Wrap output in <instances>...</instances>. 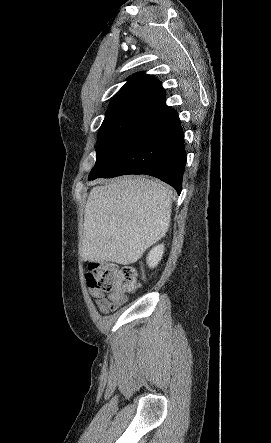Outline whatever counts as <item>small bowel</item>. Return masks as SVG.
<instances>
[{
    "instance_id": "obj_1",
    "label": "small bowel",
    "mask_w": 271,
    "mask_h": 443,
    "mask_svg": "<svg viewBox=\"0 0 271 443\" xmlns=\"http://www.w3.org/2000/svg\"><path fill=\"white\" fill-rule=\"evenodd\" d=\"M89 293L94 298L98 309L104 314L117 310L127 301L126 297H117L114 295L107 296L104 293L91 288L89 289Z\"/></svg>"
}]
</instances>
